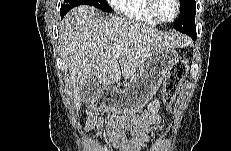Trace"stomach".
I'll return each instance as SVG.
<instances>
[{"label": "stomach", "instance_id": "stomach-1", "mask_svg": "<svg viewBox=\"0 0 231 151\" xmlns=\"http://www.w3.org/2000/svg\"><path fill=\"white\" fill-rule=\"evenodd\" d=\"M178 58L174 48H159L153 51L123 89L111 87L108 90V106L129 115L142 110L156 94Z\"/></svg>", "mask_w": 231, "mask_h": 151}]
</instances>
